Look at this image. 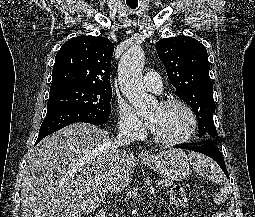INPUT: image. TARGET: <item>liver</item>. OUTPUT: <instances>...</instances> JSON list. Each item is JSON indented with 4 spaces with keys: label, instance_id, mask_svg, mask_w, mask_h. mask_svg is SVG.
Returning <instances> with one entry per match:
<instances>
[{
    "label": "liver",
    "instance_id": "liver-1",
    "mask_svg": "<svg viewBox=\"0 0 255 217\" xmlns=\"http://www.w3.org/2000/svg\"><path fill=\"white\" fill-rule=\"evenodd\" d=\"M113 139L87 123L71 124L44 138L27 158L22 180V217H81L99 207L106 194L123 191L134 173V158L119 152L110 173Z\"/></svg>",
    "mask_w": 255,
    "mask_h": 217
}]
</instances>
